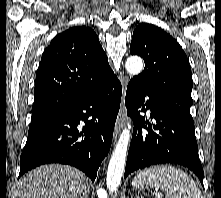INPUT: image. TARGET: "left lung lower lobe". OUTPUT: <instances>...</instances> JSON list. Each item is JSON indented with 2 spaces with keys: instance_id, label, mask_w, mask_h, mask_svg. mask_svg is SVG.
<instances>
[{
  "instance_id": "left-lung-lower-lobe-1",
  "label": "left lung lower lobe",
  "mask_w": 221,
  "mask_h": 198,
  "mask_svg": "<svg viewBox=\"0 0 221 198\" xmlns=\"http://www.w3.org/2000/svg\"><path fill=\"white\" fill-rule=\"evenodd\" d=\"M145 96L149 97L146 109L143 104ZM125 104L130 114L141 106L143 111L149 108L150 116L156 122L145 121L139 113L134 116L136 126L133 129L124 177L150 165L174 163L193 171L203 185V170L198 156L194 122L170 110L148 89L133 81L128 84Z\"/></svg>"
}]
</instances>
